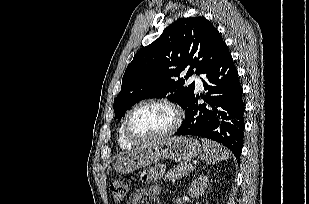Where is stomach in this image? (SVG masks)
I'll return each instance as SVG.
<instances>
[{
    "instance_id": "stomach-1",
    "label": "stomach",
    "mask_w": 309,
    "mask_h": 204,
    "mask_svg": "<svg viewBox=\"0 0 309 204\" xmlns=\"http://www.w3.org/2000/svg\"><path fill=\"white\" fill-rule=\"evenodd\" d=\"M201 153L200 143L191 137H165L143 145L134 152L117 159L113 165L118 173H130L163 159L187 162Z\"/></svg>"
}]
</instances>
